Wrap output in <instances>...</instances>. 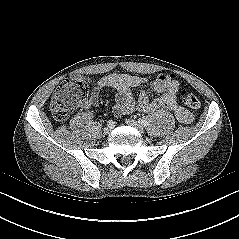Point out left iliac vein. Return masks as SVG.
I'll use <instances>...</instances> for the list:
<instances>
[{
	"label": "left iliac vein",
	"mask_w": 239,
	"mask_h": 239,
	"mask_svg": "<svg viewBox=\"0 0 239 239\" xmlns=\"http://www.w3.org/2000/svg\"><path fill=\"white\" fill-rule=\"evenodd\" d=\"M126 123L129 125V126H132L134 128H136L140 133H143L144 132V128L141 124H139L137 121L133 120V119H127L126 120Z\"/></svg>",
	"instance_id": "obj_1"
}]
</instances>
